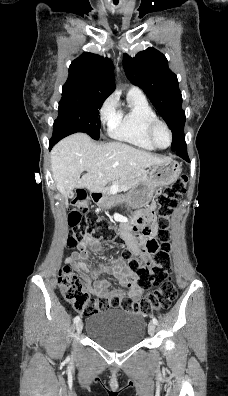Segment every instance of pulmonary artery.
<instances>
[{
	"instance_id": "obj_1",
	"label": "pulmonary artery",
	"mask_w": 228,
	"mask_h": 396,
	"mask_svg": "<svg viewBox=\"0 0 228 396\" xmlns=\"http://www.w3.org/2000/svg\"><path fill=\"white\" fill-rule=\"evenodd\" d=\"M129 92H130V93L142 94V95H143L142 90H141L140 88H138V87H135V86H132V87L129 89Z\"/></svg>"
}]
</instances>
